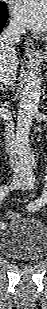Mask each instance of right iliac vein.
I'll return each instance as SVG.
<instances>
[{"mask_svg":"<svg viewBox=\"0 0 47 309\" xmlns=\"http://www.w3.org/2000/svg\"><path fill=\"white\" fill-rule=\"evenodd\" d=\"M25 183L23 178L15 177L12 180L11 187L12 188H20Z\"/></svg>","mask_w":47,"mask_h":309,"instance_id":"1","label":"right iliac vein"}]
</instances>
